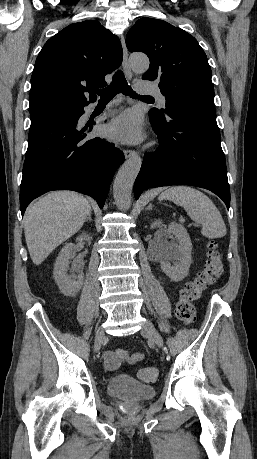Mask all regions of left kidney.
Listing matches in <instances>:
<instances>
[{"label": "left kidney", "instance_id": "left-kidney-1", "mask_svg": "<svg viewBox=\"0 0 257 459\" xmlns=\"http://www.w3.org/2000/svg\"><path fill=\"white\" fill-rule=\"evenodd\" d=\"M156 227H161L158 232V255L161 269L173 281L179 282L188 275L192 263V243L189 234L184 226L175 222L170 223L168 228L161 221L151 224L152 229ZM171 234L177 238V245L166 241ZM170 259L178 261L175 267L168 262Z\"/></svg>", "mask_w": 257, "mask_h": 459}]
</instances>
